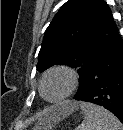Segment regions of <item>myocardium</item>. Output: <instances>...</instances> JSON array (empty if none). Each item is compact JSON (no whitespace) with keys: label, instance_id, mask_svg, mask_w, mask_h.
Segmentation results:
<instances>
[{"label":"myocardium","instance_id":"1","mask_svg":"<svg viewBox=\"0 0 123 130\" xmlns=\"http://www.w3.org/2000/svg\"><path fill=\"white\" fill-rule=\"evenodd\" d=\"M54 73L65 74L68 77L69 84H68V87L65 90V92L62 93L60 96H58L56 98H48L44 93V83H45L46 79ZM78 85H79V75H78L77 71L74 68H72L71 66L59 64V65H54V66L48 68L44 72V74L42 75L41 80H40L39 90H40L42 97L45 100L55 103V102H60L64 99L68 98L70 95H72L75 92V90L77 89Z\"/></svg>","mask_w":123,"mask_h":130}]
</instances>
